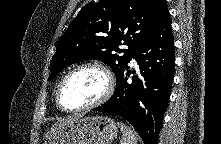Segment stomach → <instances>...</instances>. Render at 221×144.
I'll use <instances>...</instances> for the list:
<instances>
[{"mask_svg": "<svg viewBox=\"0 0 221 144\" xmlns=\"http://www.w3.org/2000/svg\"><path fill=\"white\" fill-rule=\"evenodd\" d=\"M118 133L115 121L106 116L77 118L46 137L45 144H109Z\"/></svg>", "mask_w": 221, "mask_h": 144, "instance_id": "obj_1", "label": "stomach"}]
</instances>
